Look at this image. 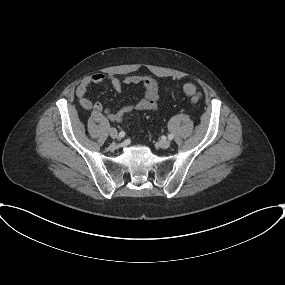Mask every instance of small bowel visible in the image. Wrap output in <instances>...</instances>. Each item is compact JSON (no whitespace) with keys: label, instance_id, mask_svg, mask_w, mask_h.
<instances>
[{"label":"small bowel","instance_id":"obj_1","mask_svg":"<svg viewBox=\"0 0 285 285\" xmlns=\"http://www.w3.org/2000/svg\"><path fill=\"white\" fill-rule=\"evenodd\" d=\"M108 82L111 87L120 92L125 85H140L144 89V97L133 104H127L121 107L117 112L105 108L102 102H93L88 96V91L91 85ZM76 96L79 104L85 110H93L102 112L113 122H123L125 115L132 111H155L158 108L160 98L158 82L146 75H129L124 77L109 75L105 73H96L85 78L76 89Z\"/></svg>","mask_w":285,"mask_h":285}]
</instances>
